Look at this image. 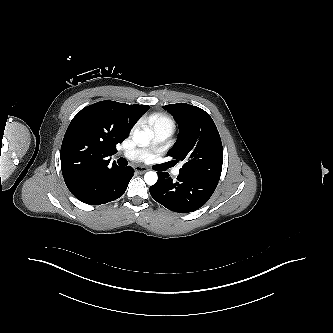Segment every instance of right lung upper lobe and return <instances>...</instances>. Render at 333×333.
I'll return each instance as SVG.
<instances>
[{
  "label": "right lung upper lobe",
  "mask_w": 333,
  "mask_h": 333,
  "mask_svg": "<svg viewBox=\"0 0 333 333\" xmlns=\"http://www.w3.org/2000/svg\"><path fill=\"white\" fill-rule=\"evenodd\" d=\"M148 109L106 100L85 107L72 119L60 152L63 178L72 194L91 177L117 166L109 157Z\"/></svg>",
  "instance_id": "obj_1"
}]
</instances>
